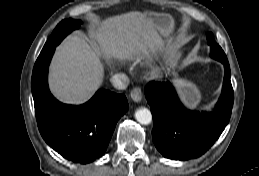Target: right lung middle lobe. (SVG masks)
I'll use <instances>...</instances> for the list:
<instances>
[{
    "mask_svg": "<svg viewBox=\"0 0 259 176\" xmlns=\"http://www.w3.org/2000/svg\"><path fill=\"white\" fill-rule=\"evenodd\" d=\"M81 23L82 22L80 20H74V19L62 20L54 29L50 38L44 45L42 51H46L52 48L53 46H57L66 35H68L71 31L79 28Z\"/></svg>",
    "mask_w": 259,
    "mask_h": 176,
    "instance_id": "dd1d6c3e",
    "label": "right lung middle lobe"
}]
</instances>
